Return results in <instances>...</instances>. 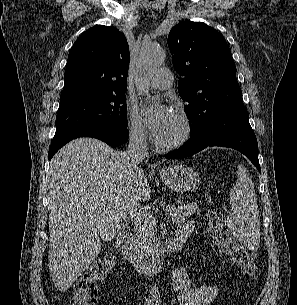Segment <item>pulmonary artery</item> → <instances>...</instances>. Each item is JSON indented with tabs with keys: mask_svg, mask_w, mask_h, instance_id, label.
<instances>
[{
	"mask_svg": "<svg viewBox=\"0 0 297 305\" xmlns=\"http://www.w3.org/2000/svg\"><path fill=\"white\" fill-rule=\"evenodd\" d=\"M153 89L166 90L173 84V75L167 68H160L156 71L149 82Z\"/></svg>",
	"mask_w": 297,
	"mask_h": 305,
	"instance_id": "pulmonary-artery-1",
	"label": "pulmonary artery"
}]
</instances>
